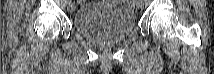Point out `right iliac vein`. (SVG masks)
I'll return each instance as SVG.
<instances>
[{
    "label": "right iliac vein",
    "mask_w": 214,
    "mask_h": 74,
    "mask_svg": "<svg viewBox=\"0 0 214 74\" xmlns=\"http://www.w3.org/2000/svg\"><path fill=\"white\" fill-rule=\"evenodd\" d=\"M74 10H75V5L73 3H71L69 5V11L72 13V12H74Z\"/></svg>",
    "instance_id": "right-iliac-vein-1"
}]
</instances>
